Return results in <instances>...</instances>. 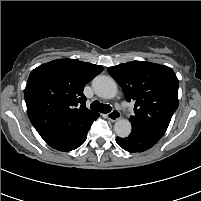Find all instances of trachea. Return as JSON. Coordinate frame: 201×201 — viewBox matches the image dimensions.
Masks as SVG:
<instances>
[{
  "mask_svg": "<svg viewBox=\"0 0 201 201\" xmlns=\"http://www.w3.org/2000/svg\"><path fill=\"white\" fill-rule=\"evenodd\" d=\"M91 109L101 113H109L112 110V107L107 104H102L99 101L95 100L91 103Z\"/></svg>",
  "mask_w": 201,
  "mask_h": 201,
  "instance_id": "obj_1",
  "label": "trachea"
}]
</instances>
